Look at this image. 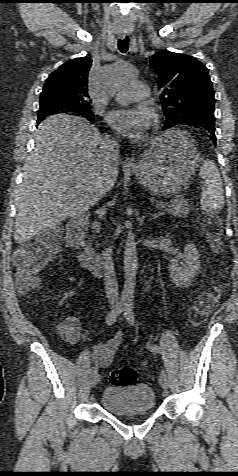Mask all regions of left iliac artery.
<instances>
[{"label": "left iliac artery", "instance_id": "obj_1", "mask_svg": "<svg viewBox=\"0 0 238 476\" xmlns=\"http://www.w3.org/2000/svg\"><path fill=\"white\" fill-rule=\"evenodd\" d=\"M124 315L128 323L134 326V312L131 304H127L124 308ZM148 348L156 353L163 354V349L155 344H149Z\"/></svg>", "mask_w": 238, "mask_h": 476}]
</instances>
